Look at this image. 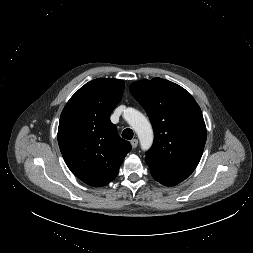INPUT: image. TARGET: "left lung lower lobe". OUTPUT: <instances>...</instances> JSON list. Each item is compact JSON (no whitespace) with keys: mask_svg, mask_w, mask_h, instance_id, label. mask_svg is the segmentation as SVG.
<instances>
[{"mask_svg":"<svg viewBox=\"0 0 253 253\" xmlns=\"http://www.w3.org/2000/svg\"><path fill=\"white\" fill-rule=\"evenodd\" d=\"M150 168V172H151V175L152 177L166 185V186H174L180 182H182L185 178H182V177H179V176H176V175H172V174H169V173H166V172H163L155 167H152V166H149Z\"/></svg>","mask_w":253,"mask_h":253,"instance_id":"1","label":"left lung lower lobe"}]
</instances>
